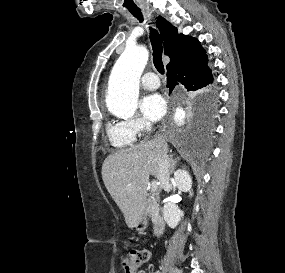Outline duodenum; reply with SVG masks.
<instances>
[{"label": "duodenum", "instance_id": "1", "mask_svg": "<svg viewBox=\"0 0 285 273\" xmlns=\"http://www.w3.org/2000/svg\"><path fill=\"white\" fill-rule=\"evenodd\" d=\"M147 209L153 213V226L152 234L153 236H160L164 232L165 223L162 216L158 213L156 203L153 199H148ZM144 221H140V225H143Z\"/></svg>", "mask_w": 285, "mask_h": 273}]
</instances>
